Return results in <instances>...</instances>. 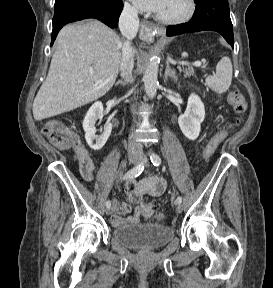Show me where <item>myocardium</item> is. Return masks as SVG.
<instances>
[{
    "label": "myocardium",
    "instance_id": "1",
    "mask_svg": "<svg viewBox=\"0 0 273 288\" xmlns=\"http://www.w3.org/2000/svg\"><path fill=\"white\" fill-rule=\"evenodd\" d=\"M187 4H188L187 11L184 14L178 16V17L168 18V17H164V16H161V15L157 14L156 15V19L159 22H161L163 24H168V25H177V24H181V23L187 22L195 14L196 1L195 0H187Z\"/></svg>",
    "mask_w": 273,
    "mask_h": 288
}]
</instances>
